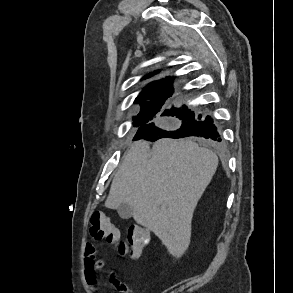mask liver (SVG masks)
<instances>
[{"mask_svg":"<svg viewBox=\"0 0 293 293\" xmlns=\"http://www.w3.org/2000/svg\"><path fill=\"white\" fill-rule=\"evenodd\" d=\"M217 155L191 140L136 141L124 154L105 206L132 207L134 220L151 230L172 256L187 250L194 210L212 180Z\"/></svg>","mask_w":293,"mask_h":293,"instance_id":"obj_1","label":"liver"}]
</instances>
